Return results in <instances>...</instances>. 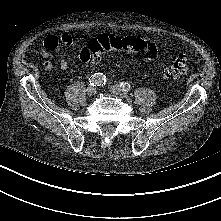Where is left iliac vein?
<instances>
[{
  "label": "left iliac vein",
  "instance_id": "obj_1",
  "mask_svg": "<svg viewBox=\"0 0 221 221\" xmlns=\"http://www.w3.org/2000/svg\"><path fill=\"white\" fill-rule=\"evenodd\" d=\"M110 92L122 98H126L128 96L127 93L118 85L111 86Z\"/></svg>",
  "mask_w": 221,
  "mask_h": 221
}]
</instances>
